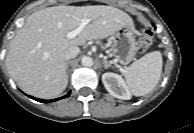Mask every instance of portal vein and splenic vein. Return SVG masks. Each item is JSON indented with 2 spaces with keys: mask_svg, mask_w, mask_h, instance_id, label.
I'll use <instances>...</instances> for the list:
<instances>
[{
  "mask_svg": "<svg viewBox=\"0 0 194 133\" xmlns=\"http://www.w3.org/2000/svg\"><path fill=\"white\" fill-rule=\"evenodd\" d=\"M90 22L89 19H82L81 20V23L79 24V26L74 29L73 31H70L68 34H67V37L69 39H72V38H75L78 34H80V32L84 29V27Z\"/></svg>",
  "mask_w": 194,
  "mask_h": 133,
  "instance_id": "portal-vein-and-splenic-vein-1",
  "label": "portal vein and splenic vein"
}]
</instances>
